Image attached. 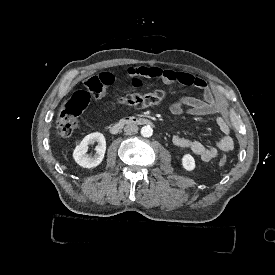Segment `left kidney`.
Wrapping results in <instances>:
<instances>
[{
    "label": "left kidney",
    "instance_id": "5707ae66",
    "mask_svg": "<svg viewBox=\"0 0 275 275\" xmlns=\"http://www.w3.org/2000/svg\"><path fill=\"white\" fill-rule=\"evenodd\" d=\"M182 165L187 171H192L195 168V160L190 154H186L182 158Z\"/></svg>",
    "mask_w": 275,
    "mask_h": 275
}]
</instances>
